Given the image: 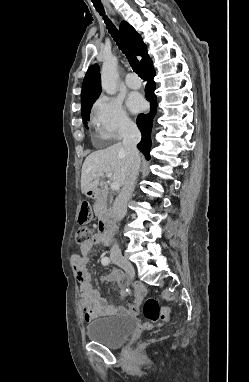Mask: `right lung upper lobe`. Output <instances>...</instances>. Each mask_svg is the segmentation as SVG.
<instances>
[{
    "label": "right lung upper lobe",
    "mask_w": 249,
    "mask_h": 382,
    "mask_svg": "<svg viewBox=\"0 0 249 382\" xmlns=\"http://www.w3.org/2000/svg\"><path fill=\"white\" fill-rule=\"evenodd\" d=\"M120 31L130 48L136 55H140L141 65L144 66L148 60H150L147 47L144 44L141 36L135 31V29L125 21L120 24ZM101 92L100 85V68L98 65H92L84 78L81 92V112L85 111L94 101L99 97Z\"/></svg>",
    "instance_id": "cb5924a9"
}]
</instances>
